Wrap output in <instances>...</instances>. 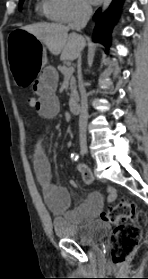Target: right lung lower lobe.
Instances as JSON below:
<instances>
[{
  "mask_svg": "<svg viewBox=\"0 0 148 279\" xmlns=\"http://www.w3.org/2000/svg\"><path fill=\"white\" fill-rule=\"evenodd\" d=\"M123 0H112L107 10L103 15L98 16L99 10L96 12L94 18H96V27L93 34L95 41L102 42L106 46L110 45V32L112 25L119 17Z\"/></svg>",
  "mask_w": 148,
  "mask_h": 279,
  "instance_id": "right-lung-lower-lobe-1",
  "label": "right lung lower lobe"
}]
</instances>
